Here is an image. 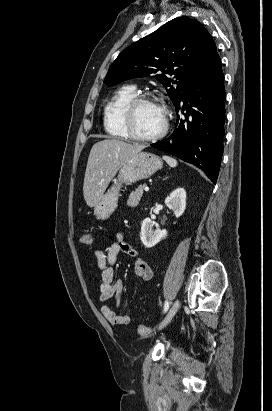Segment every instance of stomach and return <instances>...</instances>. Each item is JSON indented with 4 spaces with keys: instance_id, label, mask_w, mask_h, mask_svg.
Listing matches in <instances>:
<instances>
[{
    "instance_id": "stomach-1",
    "label": "stomach",
    "mask_w": 272,
    "mask_h": 411,
    "mask_svg": "<svg viewBox=\"0 0 272 411\" xmlns=\"http://www.w3.org/2000/svg\"><path fill=\"white\" fill-rule=\"evenodd\" d=\"M163 166L162 159L152 153L140 152L127 160L120 168L113 184L94 208L98 220H106L115 211L123 184L147 179Z\"/></svg>"
}]
</instances>
